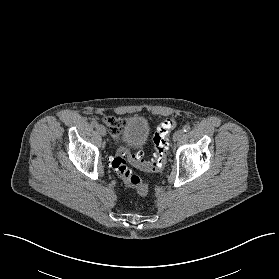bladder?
I'll return each mask as SVG.
<instances>
[{"instance_id":"31cf9c89","label":"bladder","mask_w":279,"mask_h":279,"mask_svg":"<svg viewBox=\"0 0 279 279\" xmlns=\"http://www.w3.org/2000/svg\"><path fill=\"white\" fill-rule=\"evenodd\" d=\"M149 136V124L145 117L131 115L127 118L121 132V142L126 146L142 147Z\"/></svg>"}]
</instances>
